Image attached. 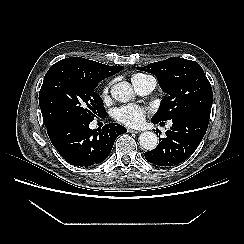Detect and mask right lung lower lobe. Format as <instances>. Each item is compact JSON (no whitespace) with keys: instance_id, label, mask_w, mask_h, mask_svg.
Here are the masks:
<instances>
[{"instance_id":"1","label":"right lung lower lobe","mask_w":244,"mask_h":244,"mask_svg":"<svg viewBox=\"0 0 244 244\" xmlns=\"http://www.w3.org/2000/svg\"><path fill=\"white\" fill-rule=\"evenodd\" d=\"M89 124L90 121L68 120L46 127L59 154L77 167L104 161L110 154L115 139L127 131L117 123L106 124L101 130H92Z\"/></svg>"}]
</instances>
